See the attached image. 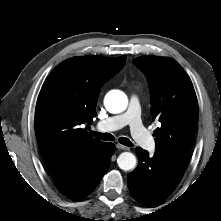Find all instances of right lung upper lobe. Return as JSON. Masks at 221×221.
<instances>
[{"mask_svg":"<svg viewBox=\"0 0 221 221\" xmlns=\"http://www.w3.org/2000/svg\"><path fill=\"white\" fill-rule=\"evenodd\" d=\"M126 56H82L65 60L46 78L35 109V132L48 170L61 171L96 158L106 143L91 137L102 85L125 64Z\"/></svg>","mask_w":221,"mask_h":221,"instance_id":"right-lung-upper-lobe-1","label":"right lung upper lobe"}]
</instances>
